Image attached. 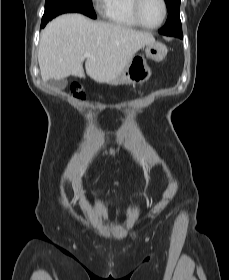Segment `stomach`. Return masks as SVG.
Here are the masks:
<instances>
[{
  "label": "stomach",
  "mask_w": 229,
  "mask_h": 280,
  "mask_svg": "<svg viewBox=\"0 0 229 280\" xmlns=\"http://www.w3.org/2000/svg\"><path fill=\"white\" fill-rule=\"evenodd\" d=\"M144 50L146 58L157 62L162 61L167 54L166 46L160 42L146 44ZM150 76L151 69L147 65L145 57L133 56L122 73L109 84L117 86L141 83L148 80Z\"/></svg>",
  "instance_id": "obj_1"
}]
</instances>
